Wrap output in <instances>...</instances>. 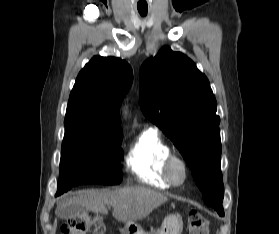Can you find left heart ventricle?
<instances>
[{"instance_id": "1", "label": "left heart ventricle", "mask_w": 279, "mask_h": 234, "mask_svg": "<svg viewBox=\"0 0 279 234\" xmlns=\"http://www.w3.org/2000/svg\"><path fill=\"white\" fill-rule=\"evenodd\" d=\"M174 173L177 178H180L182 176V171L179 167L175 168Z\"/></svg>"}]
</instances>
